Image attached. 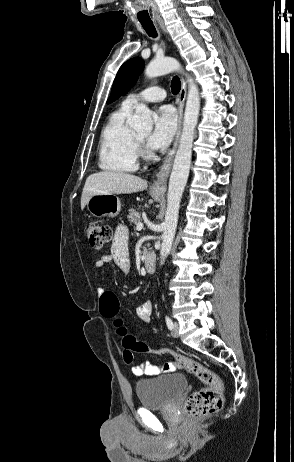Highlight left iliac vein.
<instances>
[{
  "label": "left iliac vein",
  "instance_id": "obj_1",
  "mask_svg": "<svg viewBox=\"0 0 294 462\" xmlns=\"http://www.w3.org/2000/svg\"><path fill=\"white\" fill-rule=\"evenodd\" d=\"M171 334L173 337L178 338L179 337V324L176 322L174 323L173 329L171 331Z\"/></svg>",
  "mask_w": 294,
  "mask_h": 462
}]
</instances>
